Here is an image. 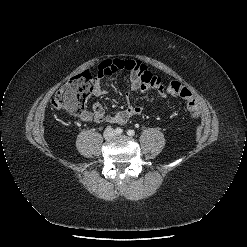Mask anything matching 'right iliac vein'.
<instances>
[{
	"mask_svg": "<svg viewBox=\"0 0 247 247\" xmlns=\"http://www.w3.org/2000/svg\"><path fill=\"white\" fill-rule=\"evenodd\" d=\"M113 136V132L111 131V130H107L106 132H105V137L106 138H111Z\"/></svg>",
	"mask_w": 247,
	"mask_h": 247,
	"instance_id": "obj_1",
	"label": "right iliac vein"
}]
</instances>
